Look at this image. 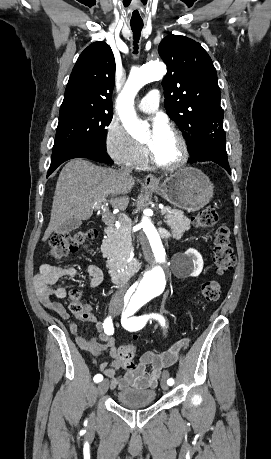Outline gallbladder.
Returning <instances> with one entry per match:
<instances>
[{
	"label": "gallbladder",
	"instance_id": "1",
	"mask_svg": "<svg viewBox=\"0 0 271 459\" xmlns=\"http://www.w3.org/2000/svg\"><path fill=\"white\" fill-rule=\"evenodd\" d=\"M82 220H77V218H71L65 224H61L58 228L54 229L55 233H68V231H72V229L79 228L81 226Z\"/></svg>",
	"mask_w": 271,
	"mask_h": 459
}]
</instances>
